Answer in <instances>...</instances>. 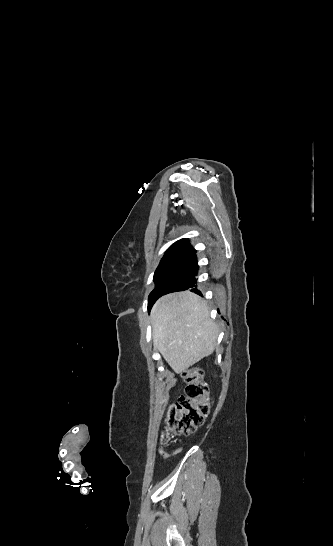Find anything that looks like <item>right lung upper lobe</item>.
<instances>
[{
    "mask_svg": "<svg viewBox=\"0 0 333 546\" xmlns=\"http://www.w3.org/2000/svg\"><path fill=\"white\" fill-rule=\"evenodd\" d=\"M193 250L190 246L188 239H181L172 244L167 251H184L189 252Z\"/></svg>",
    "mask_w": 333,
    "mask_h": 546,
    "instance_id": "1",
    "label": "right lung upper lobe"
}]
</instances>
